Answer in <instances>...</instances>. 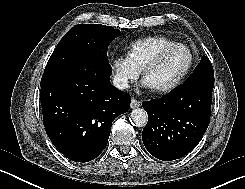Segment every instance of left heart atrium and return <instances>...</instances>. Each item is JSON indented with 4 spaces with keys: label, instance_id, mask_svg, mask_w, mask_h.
<instances>
[{
    "label": "left heart atrium",
    "instance_id": "39dd6f15",
    "mask_svg": "<svg viewBox=\"0 0 245 189\" xmlns=\"http://www.w3.org/2000/svg\"><path fill=\"white\" fill-rule=\"evenodd\" d=\"M142 85L145 87V88H147V89H151L149 86H148V84L143 80V82H142Z\"/></svg>",
    "mask_w": 245,
    "mask_h": 189
}]
</instances>
